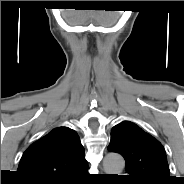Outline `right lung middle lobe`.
<instances>
[{"instance_id": "right-lung-middle-lobe-1", "label": "right lung middle lobe", "mask_w": 184, "mask_h": 184, "mask_svg": "<svg viewBox=\"0 0 184 184\" xmlns=\"http://www.w3.org/2000/svg\"><path fill=\"white\" fill-rule=\"evenodd\" d=\"M39 184V183H38ZM40 184H55V183H40Z\"/></svg>"}]
</instances>
